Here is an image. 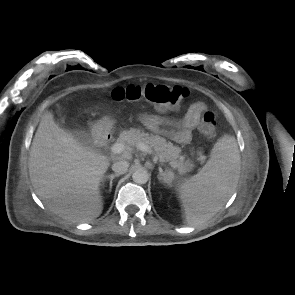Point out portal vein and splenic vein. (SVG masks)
Segmentation results:
<instances>
[{
	"instance_id": "portal-vein-and-splenic-vein-1",
	"label": "portal vein and splenic vein",
	"mask_w": 295,
	"mask_h": 295,
	"mask_svg": "<svg viewBox=\"0 0 295 295\" xmlns=\"http://www.w3.org/2000/svg\"><path fill=\"white\" fill-rule=\"evenodd\" d=\"M137 147L141 150V151H144L146 153H149V154H152L153 151L152 149L148 146V145H145V144H138ZM125 144L124 143H115L112 145L111 147V151L114 153V154H119V153H122L125 151Z\"/></svg>"
}]
</instances>
